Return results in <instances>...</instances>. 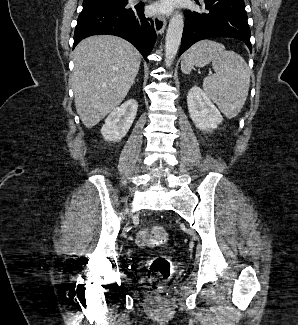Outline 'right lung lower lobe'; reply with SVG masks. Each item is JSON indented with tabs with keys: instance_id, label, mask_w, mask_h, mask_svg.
<instances>
[{
	"instance_id": "1",
	"label": "right lung lower lobe",
	"mask_w": 298,
	"mask_h": 325,
	"mask_svg": "<svg viewBox=\"0 0 298 325\" xmlns=\"http://www.w3.org/2000/svg\"><path fill=\"white\" fill-rule=\"evenodd\" d=\"M143 12V5L83 9L75 28L74 47L91 35H116L132 43L148 62L156 31L153 20Z\"/></svg>"
}]
</instances>
